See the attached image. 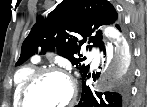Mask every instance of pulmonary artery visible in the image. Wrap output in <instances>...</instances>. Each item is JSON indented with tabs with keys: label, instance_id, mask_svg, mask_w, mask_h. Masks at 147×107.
<instances>
[{
	"label": "pulmonary artery",
	"instance_id": "pulmonary-artery-1",
	"mask_svg": "<svg viewBox=\"0 0 147 107\" xmlns=\"http://www.w3.org/2000/svg\"><path fill=\"white\" fill-rule=\"evenodd\" d=\"M98 62H99V59H98V56L97 54L94 55V59H93V62H92V65L94 67H96L98 65Z\"/></svg>",
	"mask_w": 147,
	"mask_h": 107
}]
</instances>
